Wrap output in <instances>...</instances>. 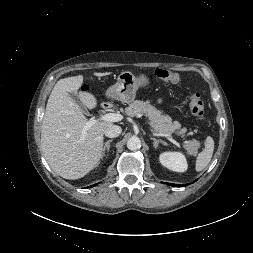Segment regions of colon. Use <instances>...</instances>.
I'll use <instances>...</instances> for the list:
<instances>
[{
	"mask_svg": "<svg viewBox=\"0 0 253 253\" xmlns=\"http://www.w3.org/2000/svg\"><path fill=\"white\" fill-rule=\"evenodd\" d=\"M154 75L158 79L167 83H178L181 80L180 75L178 73L166 68L156 69ZM190 109L192 114L198 121H203L205 119V108L199 93H193L191 95Z\"/></svg>",
	"mask_w": 253,
	"mask_h": 253,
	"instance_id": "1",
	"label": "colon"
}]
</instances>
